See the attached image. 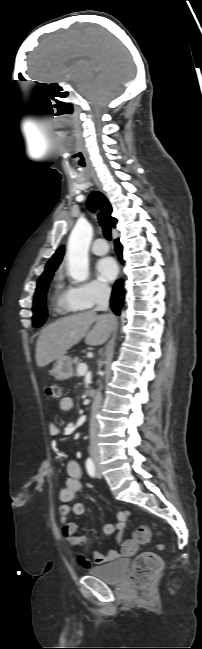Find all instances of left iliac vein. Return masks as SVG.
<instances>
[{
    "instance_id": "obj_1",
    "label": "left iliac vein",
    "mask_w": 202,
    "mask_h": 649,
    "mask_svg": "<svg viewBox=\"0 0 202 649\" xmlns=\"http://www.w3.org/2000/svg\"><path fill=\"white\" fill-rule=\"evenodd\" d=\"M96 475L99 479L101 478V471L98 465L96 466Z\"/></svg>"
}]
</instances>
